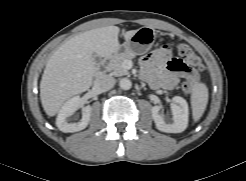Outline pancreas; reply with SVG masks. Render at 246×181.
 Returning a JSON list of instances; mask_svg holds the SVG:
<instances>
[{
  "label": "pancreas",
  "instance_id": "pancreas-1",
  "mask_svg": "<svg viewBox=\"0 0 246 181\" xmlns=\"http://www.w3.org/2000/svg\"><path fill=\"white\" fill-rule=\"evenodd\" d=\"M134 54L130 52H124L118 55H115L107 65V70L111 72L112 75L122 76L128 75V70L124 67V62L126 60H131L134 58Z\"/></svg>",
  "mask_w": 246,
  "mask_h": 181
}]
</instances>
